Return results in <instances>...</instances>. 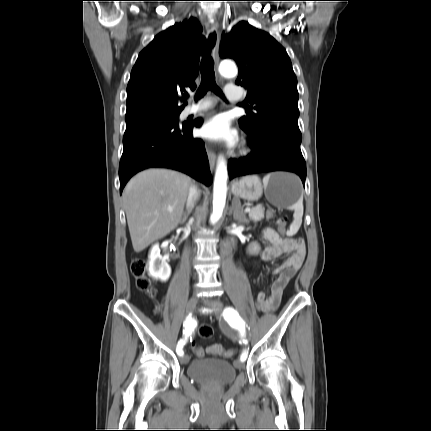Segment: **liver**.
Masks as SVG:
<instances>
[{
	"instance_id": "1",
	"label": "liver",
	"mask_w": 431,
	"mask_h": 431,
	"mask_svg": "<svg viewBox=\"0 0 431 431\" xmlns=\"http://www.w3.org/2000/svg\"><path fill=\"white\" fill-rule=\"evenodd\" d=\"M190 185L187 175L167 169H148L128 182L122 196L135 252L179 225Z\"/></svg>"
}]
</instances>
